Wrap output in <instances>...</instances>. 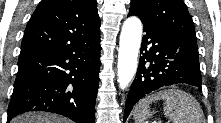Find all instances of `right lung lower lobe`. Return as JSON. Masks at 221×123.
I'll use <instances>...</instances> for the list:
<instances>
[{
    "label": "right lung lower lobe",
    "mask_w": 221,
    "mask_h": 123,
    "mask_svg": "<svg viewBox=\"0 0 221 123\" xmlns=\"http://www.w3.org/2000/svg\"><path fill=\"white\" fill-rule=\"evenodd\" d=\"M100 50L98 35L62 49L21 54L8 121L19 113L48 111L94 123Z\"/></svg>",
    "instance_id": "98d812e1"
}]
</instances>
